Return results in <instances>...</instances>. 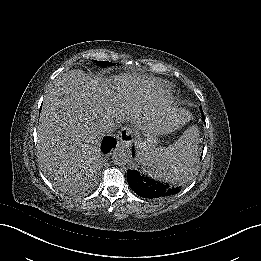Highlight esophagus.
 <instances>
[{
    "label": "esophagus",
    "instance_id": "esophagus-1",
    "mask_svg": "<svg viewBox=\"0 0 261 261\" xmlns=\"http://www.w3.org/2000/svg\"><path fill=\"white\" fill-rule=\"evenodd\" d=\"M133 140V131L131 128H124L118 135V145L120 148L126 149L130 146Z\"/></svg>",
    "mask_w": 261,
    "mask_h": 261
}]
</instances>
